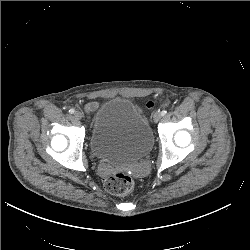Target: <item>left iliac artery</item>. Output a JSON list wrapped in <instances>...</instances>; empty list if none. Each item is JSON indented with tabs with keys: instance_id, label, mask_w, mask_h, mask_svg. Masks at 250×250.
<instances>
[{
	"instance_id": "44dca946",
	"label": "left iliac artery",
	"mask_w": 250,
	"mask_h": 250,
	"mask_svg": "<svg viewBox=\"0 0 250 250\" xmlns=\"http://www.w3.org/2000/svg\"><path fill=\"white\" fill-rule=\"evenodd\" d=\"M166 113H167V110H165V109L161 111L162 116H164Z\"/></svg>"
}]
</instances>
